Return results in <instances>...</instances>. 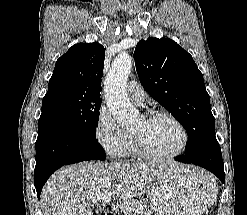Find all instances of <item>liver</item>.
I'll list each match as a JSON object with an SVG mask.
<instances>
[{
    "label": "liver",
    "mask_w": 247,
    "mask_h": 215,
    "mask_svg": "<svg viewBox=\"0 0 247 215\" xmlns=\"http://www.w3.org/2000/svg\"><path fill=\"white\" fill-rule=\"evenodd\" d=\"M176 162L140 164L83 162L54 173L41 193L44 215H93L92 208L111 194L121 206L149 193Z\"/></svg>",
    "instance_id": "1"
}]
</instances>
